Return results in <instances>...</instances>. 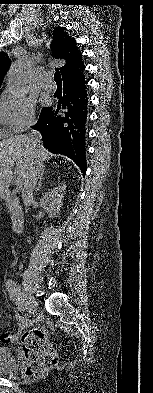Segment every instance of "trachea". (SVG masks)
<instances>
[{
  "label": "trachea",
  "mask_w": 153,
  "mask_h": 393,
  "mask_svg": "<svg viewBox=\"0 0 153 393\" xmlns=\"http://www.w3.org/2000/svg\"><path fill=\"white\" fill-rule=\"evenodd\" d=\"M54 80H55L56 83L62 84L61 73L59 71L55 72Z\"/></svg>",
  "instance_id": "trachea-1"
}]
</instances>
